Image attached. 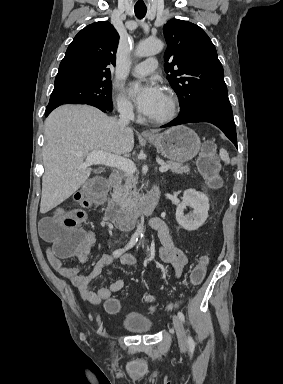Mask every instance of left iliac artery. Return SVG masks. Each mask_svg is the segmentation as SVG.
I'll use <instances>...</instances> for the list:
<instances>
[{
  "label": "left iliac artery",
  "mask_w": 283,
  "mask_h": 384,
  "mask_svg": "<svg viewBox=\"0 0 283 384\" xmlns=\"http://www.w3.org/2000/svg\"><path fill=\"white\" fill-rule=\"evenodd\" d=\"M178 317L181 319V321L185 320L184 314L181 311L178 312ZM188 345L190 349H194L195 347V342L191 336H188Z\"/></svg>",
  "instance_id": "left-iliac-artery-1"
}]
</instances>
